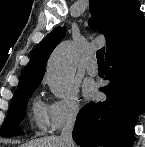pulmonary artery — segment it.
<instances>
[{"instance_id":"pulmonary-artery-1","label":"pulmonary artery","mask_w":145,"mask_h":147,"mask_svg":"<svg viewBox=\"0 0 145 147\" xmlns=\"http://www.w3.org/2000/svg\"><path fill=\"white\" fill-rule=\"evenodd\" d=\"M87 74L90 76H96L98 74V67L96 65V58L91 57L86 66Z\"/></svg>"}]
</instances>
